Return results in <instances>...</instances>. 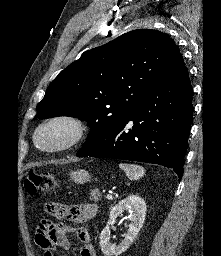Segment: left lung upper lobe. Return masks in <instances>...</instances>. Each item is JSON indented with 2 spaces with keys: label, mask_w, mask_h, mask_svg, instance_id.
Instances as JSON below:
<instances>
[{
  "label": "left lung upper lobe",
  "mask_w": 221,
  "mask_h": 256,
  "mask_svg": "<svg viewBox=\"0 0 221 256\" xmlns=\"http://www.w3.org/2000/svg\"><path fill=\"white\" fill-rule=\"evenodd\" d=\"M185 66L165 33L139 29L93 48L49 84L34 119L72 116L90 126L82 147L116 126L156 86Z\"/></svg>",
  "instance_id": "obj_1"
}]
</instances>
